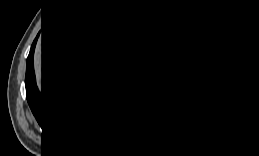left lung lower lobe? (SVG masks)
<instances>
[{"label": "left lung lower lobe", "mask_w": 259, "mask_h": 156, "mask_svg": "<svg viewBox=\"0 0 259 156\" xmlns=\"http://www.w3.org/2000/svg\"><path fill=\"white\" fill-rule=\"evenodd\" d=\"M162 61L163 57L156 59L158 64ZM191 81L189 69L176 71L168 64L146 74L140 89V101L148 127L158 137L177 140L192 131L190 122L193 117L217 106V95L206 88L198 89L193 94L194 100L186 102L192 93ZM201 119L197 120L198 126L206 121Z\"/></svg>", "instance_id": "left-lung-lower-lobe-1"}]
</instances>
